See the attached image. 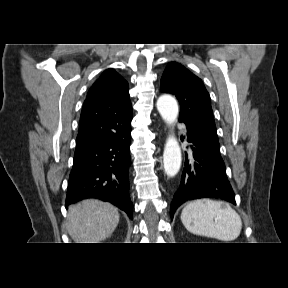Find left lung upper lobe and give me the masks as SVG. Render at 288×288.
<instances>
[{"mask_svg":"<svg viewBox=\"0 0 288 288\" xmlns=\"http://www.w3.org/2000/svg\"><path fill=\"white\" fill-rule=\"evenodd\" d=\"M161 91L177 97L181 105L179 120L195 125L218 141L210 96L200 78L181 64L171 62L162 75Z\"/></svg>","mask_w":288,"mask_h":288,"instance_id":"1","label":"left lung upper lobe"}]
</instances>
